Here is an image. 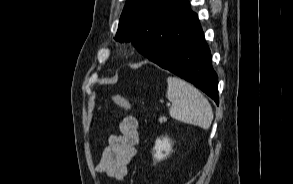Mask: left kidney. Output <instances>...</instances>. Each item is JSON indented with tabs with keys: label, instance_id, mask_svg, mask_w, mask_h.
<instances>
[{
	"label": "left kidney",
	"instance_id": "5707ae66",
	"mask_svg": "<svg viewBox=\"0 0 293 184\" xmlns=\"http://www.w3.org/2000/svg\"><path fill=\"white\" fill-rule=\"evenodd\" d=\"M172 151V144L167 137L157 139L152 150V155L157 161L163 160Z\"/></svg>",
	"mask_w": 293,
	"mask_h": 184
}]
</instances>
